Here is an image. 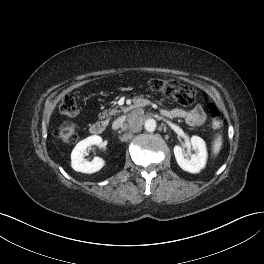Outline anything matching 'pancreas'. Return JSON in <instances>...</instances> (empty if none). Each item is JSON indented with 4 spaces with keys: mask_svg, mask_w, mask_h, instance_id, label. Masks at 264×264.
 Segmentation results:
<instances>
[{
    "mask_svg": "<svg viewBox=\"0 0 264 264\" xmlns=\"http://www.w3.org/2000/svg\"><path fill=\"white\" fill-rule=\"evenodd\" d=\"M121 111L120 110H116V109H113L111 111H103L102 112V115L99 116V118L101 119H105V118H108L107 121L110 120V118L108 117L109 115H116L117 113H120Z\"/></svg>",
    "mask_w": 264,
    "mask_h": 264,
    "instance_id": "cf45deb5",
    "label": "pancreas"
}]
</instances>
